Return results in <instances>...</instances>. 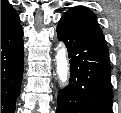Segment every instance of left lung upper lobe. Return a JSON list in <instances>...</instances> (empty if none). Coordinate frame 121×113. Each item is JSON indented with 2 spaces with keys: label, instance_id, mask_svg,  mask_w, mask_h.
<instances>
[{
  "label": "left lung upper lobe",
  "instance_id": "obj_1",
  "mask_svg": "<svg viewBox=\"0 0 121 113\" xmlns=\"http://www.w3.org/2000/svg\"><path fill=\"white\" fill-rule=\"evenodd\" d=\"M63 17L71 20L72 22L82 27L86 31L95 34L104 43H106L103 32L97 23L96 16L89 9L82 8L80 6L73 7L70 10H68Z\"/></svg>",
  "mask_w": 121,
  "mask_h": 113
}]
</instances>
